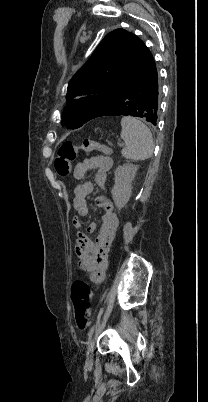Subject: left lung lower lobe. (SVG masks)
<instances>
[{
    "instance_id": "left-lung-lower-lobe-1",
    "label": "left lung lower lobe",
    "mask_w": 208,
    "mask_h": 402,
    "mask_svg": "<svg viewBox=\"0 0 208 402\" xmlns=\"http://www.w3.org/2000/svg\"><path fill=\"white\" fill-rule=\"evenodd\" d=\"M141 43V59L137 70L123 86L116 99L98 117L131 115L143 118L153 125L157 124L159 77L150 50L142 41Z\"/></svg>"
}]
</instances>
